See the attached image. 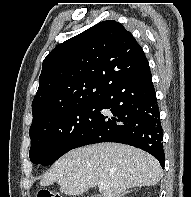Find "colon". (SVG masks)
I'll return each mask as SVG.
<instances>
[{"label": "colon", "instance_id": "5ec220e1", "mask_svg": "<svg viewBox=\"0 0 191 197\" xmlns=\"http://www.w3.org/2000/svg\"><path fill=\"white\" fill-rule=\"evenodd\" d=\"M37 197H64L59 193H55L49 190H41L38 192Z\"/></svg>", "mask_w": 191, "mask_h": 197}]
</instances>
